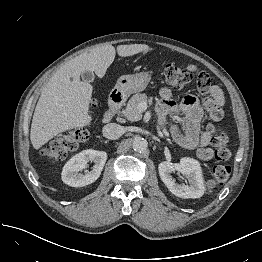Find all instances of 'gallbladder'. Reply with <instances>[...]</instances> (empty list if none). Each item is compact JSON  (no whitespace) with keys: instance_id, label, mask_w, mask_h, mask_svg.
Returning a JSON list of instances; mask_svg holds the SVG:
<instances>
[{"instance_id":"bac80fb5","label":"gallbladder","mask_w":262,"mask_h":262,"mask_svg":"<svg viewBox=\"0 0 262 262\" xmlns=\"http://www.w3.org/2000/svg\"><path fill=\"white\" fill-rule=\"evenodd\" d=\"M81 77L85 82H93L95 76L93 72L85 71L81 74Z\"/></svg>"}]
</instances>
